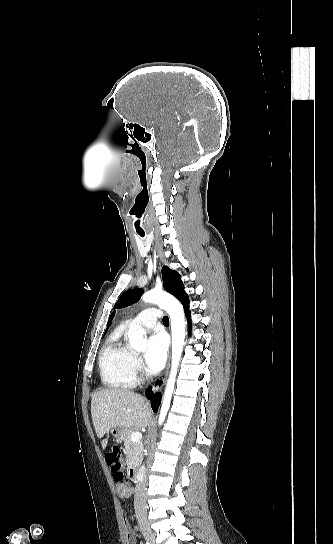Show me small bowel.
<instances>
[{
	"instance_id": "small-bowel-1",
	"label": "small bowel",
	"mask_w": 333,
	"mask_h": 544,
	"mask_svg": "<svg viewBox=\"0 0 333 544\" xmlns=\"http://www.w3.org/2000/svg\"><path fill=\"white\" fill-rule=\"evenodd\" d=\"M117 491L123 499H126L131 496L133 492V487L128 484H118ZM126 539L128 544L136 543L135 532L130 528L127 531Z\"/></svg>"
}]
</instances>
